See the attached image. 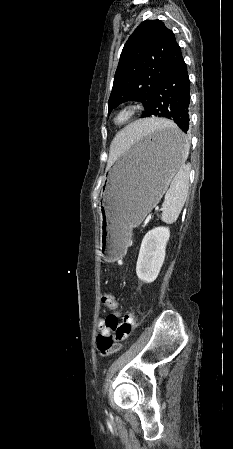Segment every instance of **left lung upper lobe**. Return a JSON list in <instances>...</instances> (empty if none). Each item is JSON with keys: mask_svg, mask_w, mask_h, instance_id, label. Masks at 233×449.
<instances>
[{"mask_svg": "<svg viewBox=\"0 0 233 449\" xmlns=\"http://www.w3.org/2000/svg\"><path fill=\"white\" fill-rule=\"evenodd\" d=\"M182 57L174 33L161 20H145L122 50L108 103V114L119 104L138 100L146 114L164 75Z\"/></svg>", "mask_w": 233, "mask_h": 449, "instance_id": "obj_1", "label": "left lung upper lobe"}]
</instances>
